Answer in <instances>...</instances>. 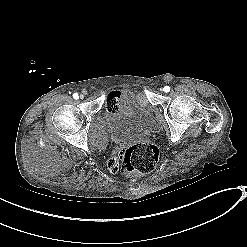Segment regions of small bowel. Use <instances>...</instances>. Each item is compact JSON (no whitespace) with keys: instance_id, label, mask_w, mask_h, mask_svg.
I'll return each mask as SVG.
<instances>
[{"instance_id":"c3829d8e","label":"small bowel","mask_w":247,"mask_h":247,"mask_svg":"<svg viewBox=\"0 0 247 247\" xmlns=\"http://www.w3.org/2000/svg\"><path fill=\"white\" fill-rule=\"evenodd\" d=\"M127 104V99L125 95L119 92H113L109 94L105 100V106L103 109V114L105 118L109 120H114L119 117L121 109L125 108ZM113 139L116 142H121L124 139V134L121 131H116L113 134ZM105 163L110 172L115 173L118 171L119 166L116 163L114 157L109 156L106 158Z\"/></svg>"}]
</instances>
